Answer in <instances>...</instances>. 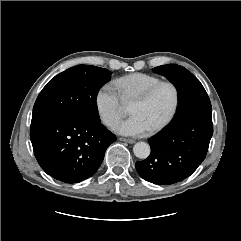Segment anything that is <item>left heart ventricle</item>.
Here are the masks:
<instances>
[{"label":"left heart ventricle","instance_id":"obj_1","mask_svg":"<svg viewBox=\"0 0 241 241\" xmlns=\"http://www.w3.org/2000/svg\"><path fill=\"white\" fill-rule=\"evenodd\" d=\"M173 104V90L168 86H164L149 101L142 104L131 103L129 113L131 115H139L151 129L160 124L169 115Z\"/></svg>","mask_w":241,"mask_h":241}]
</instances>
